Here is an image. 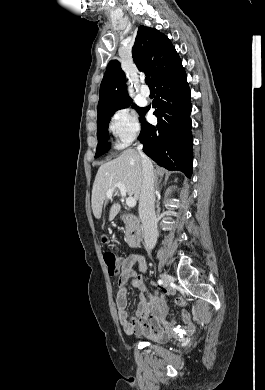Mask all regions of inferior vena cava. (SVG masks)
<instances>
[{
    "mask_svg": "<svg viewBox=\"0 0 265 390\" xmlns=\"http://www.w3.org/2000/svg\"><path fill=\"white\" fill-rule=\"evenodd\" d=\"M142 144L137 145L142 160L143 182L139 198V217L141 219L145 247L152 250L157 242V218L155 215L154 170L151 160L144 154Z\"/></svg>",
    "mask_w": 265,
    "mask_h": 390,
    "instance_id": "inferior-vena-cava-1",
    "label": "inferior vena cava"
}]
</instances>
